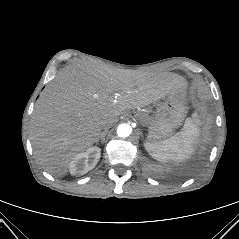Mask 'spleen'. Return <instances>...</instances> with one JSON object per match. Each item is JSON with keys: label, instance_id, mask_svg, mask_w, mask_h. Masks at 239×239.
Returning a JSON list of instances; mask_svg holds the SVG:
<instances>
[{"label": "spleen", "instance_id": "obj_1", "mask_svg": "<svg viewBox=\"0 0 239 239\" xmlns=\"http://www.w3.org/2000/svg\"><path fill=\"white\" fill-rule=\"evenodd\" d=\"M198 124L199 118L195 112L192 118L185 120L180 132L164 141H147L144 147L154 159L160 162H181L187 159L193 151L194 140L199 135Z\"/></svg>", "mask_w": 239, "mask_h": 239}]
</instances>
